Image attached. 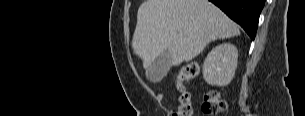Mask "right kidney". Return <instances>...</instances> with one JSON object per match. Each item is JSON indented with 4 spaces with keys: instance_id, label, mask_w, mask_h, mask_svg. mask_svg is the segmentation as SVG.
<instances>
[{
    "instance_id": "obj_1",
    "label": "right kidney",
    "mask_w": 305,
    "mask_h": 116,
    "mask_svg": "<svg viewBox=\"0 0 305 116\" xmlns=\"http://www.w3.org/2000/svg\"><path fill=\"white\" fill-rule=\"evenodd\" d=\"M238 51L231 43H223L213 48L203 64V77L208 84L228 85L237 67Z\"/></svg>"
}]
</instances>
